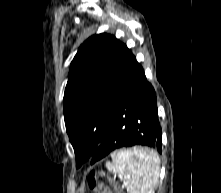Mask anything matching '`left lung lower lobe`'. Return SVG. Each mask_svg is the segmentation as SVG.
Returning <instances> with one entry per match:
<instances>
[{
	"instance_id": "left-lung-lower-lobe-1",
	"label": "left lung lower lobe",
	"mask_w": 221,
	"mask_h": 193,
	"mask_svg": "<svg viewBox=\"0 0 221 193\" xmlns=\"http://www.w3.org/2000/svg\"><path fill=\"white\" fill-rule=\"evenodd\" d=\"M112 121L111 129L91 157V164L123 147L142 145L162 152L156 94L135 58L120 85Z\"/></svg>"
}]
</instances>
